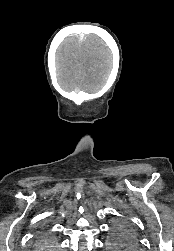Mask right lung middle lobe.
<instances>
[{
	"label": "right lung middle lobe",
	"mask_w": 174,
	"mask_h": 251,
	"mask_svg": "<svg viewBox=\"0 0 174 251\" xmlns=\"http://www.w3.org/2000/svg\"><path fill=\"white\" fill-rule=\"evenodd\" d=\"M54 246V243L48 240L46 237L40 238L36 244V248H45V250H51Z\"/></svg>",
	"instance_id": "right-lung-middle-lobe-1"
}]
</instances>
